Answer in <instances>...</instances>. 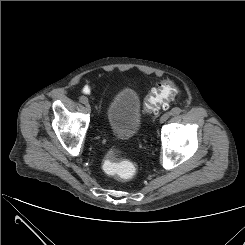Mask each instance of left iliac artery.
<instances>
[{
	"mask_svg": "<svg viewBox=\"0 0 245 245\" xmlns=\"http://www.w3.org/2000/svg\"><path fill=\"white\" fill-rule=\"evenodd\" d=\"M181 113V109L179 108V107H175V108H173L172 110H171V112H170V114L171 115H178V114H180Z\"/></svg>",
	"mask_w": 245,
	"mask_h": 245,
	"instance_id": "left-iliac-artery-1",
	"label": "left iliac artery"
}]
</instances>
